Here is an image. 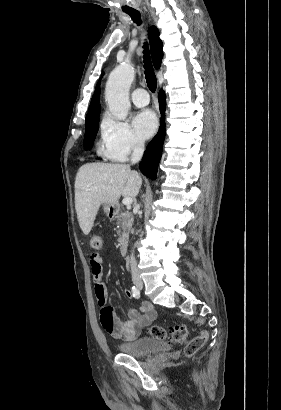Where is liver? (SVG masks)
Listing matches in <instances>:
<instances>
[{
    "label": "liver",
    "mask_w": 281,
    "mask_h": 410,
    "mask_svg": "<svg viewBox=\"0 0 281 410\" xmlns=\"http://www.w3.org/2000/svg\"><path fill=\"white\" fill-rule=\"evenodd\" d=\"M142 185L140 175L129 165L86 163L75 179V209L81 230H92L101 204L115 205L121 196L135 198Z\"/></svg>",
    "instance_id": "1"
}]
</instances>
